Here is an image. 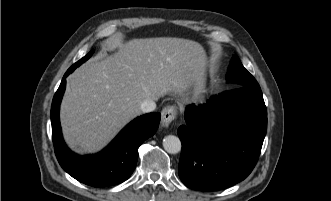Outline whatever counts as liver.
<instances>
[{
    "label": "liver",
    "mask_w": 331,
    "mask_h": 201,
    "mask_svg": "<svg viewBox=\"0 0 331 201\" xmlns=\"http://www.w3.org/2000/svg\"><path fill=\"white\" fill-rule=\"evenodd\" d=\"M206 55L192 40L171 37L133 39L117 52L90 61L67 79L60 119L64 139L78 153L104 147L141 103L166 94L186 98L200 81Z\"/></svg>",
    "instance_id": "6515ba94"
}]
</instances>
